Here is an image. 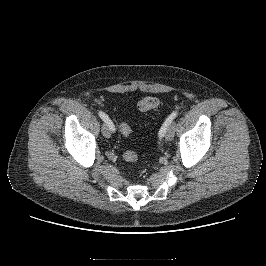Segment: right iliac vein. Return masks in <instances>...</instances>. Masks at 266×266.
Here are the masks:
<instances>
[{"mask_svg": "<svg viewBox=\"0 0 266 266\" xmlns=\"http://www.w3.org/2000/svg\"><path fill=\"white\" fill-rule=\"evenodd\" d=\"M102 134L106 137L109 138L111 136V129L107 124L102 125Z\"/></svg>", "mask_w": 266, "mask_h": 266, "instance_id": "63e3f726", "label": "right iliac vein"}]
</instances>
